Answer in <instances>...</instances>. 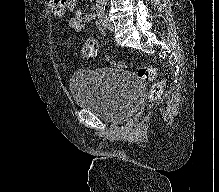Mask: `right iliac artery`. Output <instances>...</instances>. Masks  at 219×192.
<instances>
[{
    "mask_svg": "<svg viewBox=\"0 0 219 192\" xmlns=\"http://www.w3.org/2000/svg\"><path fill=\"white\" fill-rule=\"evenodd\" d=\"M103 7H105L103 4L98 5V9H101V8H103Z\"/></svg>",
    "mask_w": 219,
    "mask_h": 192,
    "instance_id": "right-iliac-artery-1",
    "label": "right iliac artery"
}]
</instances>
